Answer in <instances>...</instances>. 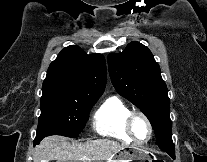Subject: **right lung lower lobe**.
<instances>
[{
	"instance_id": "right-lung-lower-lobe-1",
	"label": "right lung lower lobe",
	"mask_w": 207,
	"mask_h": 162,
	"mask_svg": "<svg viewBox=\"0 0 207 162\" xmlns=\"http://www.w3.org/2000/svg\"><path fill=\"white\" fill-rule=\"evenodd\" d=\"M41 140L40 139H36L35 138V140H34V146L37 144V143H39Z\"/></svg>"
}]
</instances>
